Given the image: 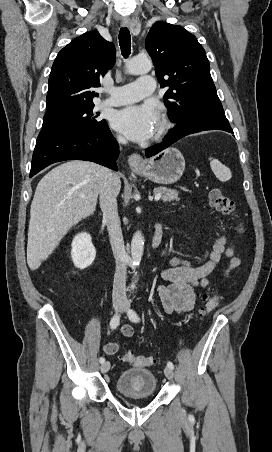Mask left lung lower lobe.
Instances as JSON below:
<instances>
[{
	"mask_svg": "<svg viewBox=\"0 0 272 452\" xmlns=\"http://www.w3.org/2000/svg\"><path fill=\"white\" fill-rule=\"evenodd\" d=\"M213 129L224 130L229 133H233V130L230 126L223 127V128H212V127L198 128V127H178V126H176L175 129L169 131V133L165 136V141L163 143L154 145L145 150L146 157L149 158L151 156H154L155 154H157L160 151H162L163 149L169 147L174 142H176L177 140H179L180 138H182L186 135L197 133V132L204 131V130H213Z\"/></svg>",
	"mask_w": 272,
	"mask_h": 452,
	"instance_id": "1",
	"label": "left lung lower lobe"
}]
</instances>
